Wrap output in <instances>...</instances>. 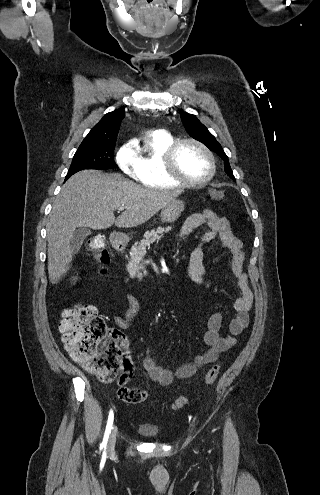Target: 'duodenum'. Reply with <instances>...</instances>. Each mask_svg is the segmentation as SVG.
I'll use <instances>...</instances> for the list:
<instances>
[{
    "label": "duodenum",
    "instance_id": "obj_1",
    "mask_svg": "<svg viewBox=\"0 0 320 495\" xmlns=\"http://www.w3.org/2000/svg\"><path fill=\"white\" fill-rule=\"evenodd\" d=\"M112 240H113V245L117 251L121 252L125 250L126 242L121 235L114 234Z\"/></svg>",
    "mask_w": 320,
    "mask_h": 495
}]
</instances>
